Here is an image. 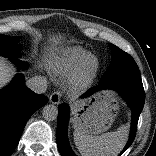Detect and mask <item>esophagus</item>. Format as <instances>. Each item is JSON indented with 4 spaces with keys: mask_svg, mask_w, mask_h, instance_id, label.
I'll return each mask as SVG.
<instances>
[{
    "mask_svg": "<svg viewBox=\"0 0 156 156\" xmlns=\"http://www.w3.org/2000/svg\"><path fill=\"white\" fill-rule=\"evenodd\" d=\"M60 93L58 91L56 92H53L50 97H49V100L52 104H59L60 103Z\"/></svg>",
    "mask_w": 156,
    "mask_h": 156,
    "instance_id": "esophagus-1",
    "label": "esophagus"
}]
</instances>
